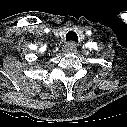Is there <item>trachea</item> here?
Here are the masks:
<instances>
[{
	"label": "trachea",
	"mask_w": 127,
	"mask_h": 127,
	"mask_svg": "<svg viewBox=\"0 0 127 127\" xmlns=\"http://www.w3.org/2000/svg\"><path fill=\"white\" fill-rule=\"evenodd\" d=\"M66 40H67V41H70V42L78 43V36H77L76 32H74V31H69V32L66 34Z\"/></svg>",
	"instance_id": "obj_1"
}]
</instances>
